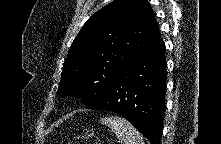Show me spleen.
<instances>
[{"label":"spleen","mask_w":221,"mask_h":144,"mask_svg":"<svg viewBox=\"0 0 221 144\" xmlns=\"http://www.w3.org/2000/svg\"><path fill=\"white\" fill-rule=\"evenodd\" d=\"M101 123L110 127L115 135L125 144H144L143 136L129 121L119 116L101 119Z\"/></svg>","instance_id":"1"}]
</instances>
